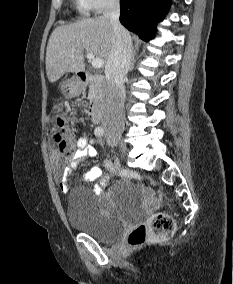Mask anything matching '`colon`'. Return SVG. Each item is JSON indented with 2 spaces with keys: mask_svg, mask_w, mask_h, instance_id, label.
Segmentation results:
<instances>
[{
  "mask_svg": "<svg viewBox=\"0 0 233 284\" xmlns=\"http://www.w3.org/2000/svg\"><path fill=\"white\" fill-rule=\"evenodd\" d=\"M84 104V101H79ZM57 125L62 132H56L55 141L59 150L65 155H72L75 151L74 131L65 126L62 118L57 119ZM109 167L118 175L124 178L140 179V175L131 170L109 164ZM174 231V220L168 214H154L148 221L138 225L128 236V246L130 248L138 247L150 239L164 240L169 238Z\"/></svg>",
  "mask_w": 233,
  "mask_h": 284,
  "instance_id": "1",
  "label": "colon"
}]
</instances>
